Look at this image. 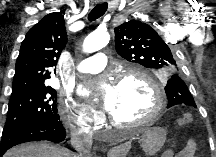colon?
Segmentation results:
<instances>
[{
    "instance_id": "5ec220e1",
    "label": "colon",
    "mask_w": 216,
    "mask_h": 157,
    "mask_svg": "<svg viewBox=\"0 0 216 157\" xmlns=\"http://www.w3.org/2000/svg\"><path fill=\"white\" fill-rule=\"evenodd\" d=\"M192 121V115L189 112H184L178 119L177 124L179 126H187Z\"/></svg>"
}]
</instances>
